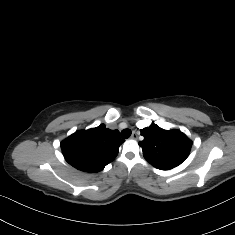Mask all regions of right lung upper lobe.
Here are the masks:
<instances>
[{
  "mask_svg": "<svg viewBox=\"0 0 235 235\" xmlns=\"http://www.w3.org/2000/svg\"><path fill=\"white\" fill-rule=\"evenodd\" d=\"M123 140L118 130H111L104 124L89 130H79L61 142L66 161L74 168L96 173L112 162Z\"/></svg>",
  "mask_w": 235,
  "mask_h": 235,
  "instance_id": "right-lung-upper-lobe-1",
  "label": "right lung upper lobe"
}]
</instances>
